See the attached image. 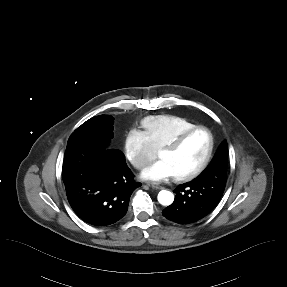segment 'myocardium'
Returning a JSON list of instances; mask_svg holds the SVG:
<instances>
[{
  "instance_id": "obj_1",
  "label": "myocardium",
  "mask_w": 287,
  "mask_h": 287,
  "mask_svg": "<svg viewBox=\"0 0 287 287\" xmlns=\"http://www.w3.org/2000/svg\"><path fill=\"white\" fill-rule=\"evenodd\" d=\"M198 131H205L209 137V147H208L207 153L203 161L194 170L184 175L175 176L174 179L176 181L181 182V181L193 180L196 177H198L207 168V166L209 165L212 159L214 148H215V139H214V135L212 131L206 126H195L191 129L184 131L179 136H177L175 139L165 144L159 151V154H160L163 151L171 152V151L178 150L190 136H192L194 133Z\"/></svg>"
}]
</instances>
